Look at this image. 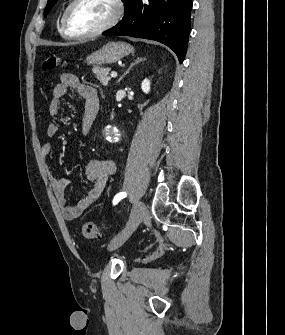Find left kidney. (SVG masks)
<instances>
[{
  "instance_id": "obj_1",
  "label": "left kidney",
  "mask_w": 285,
  "mask_h": 335,
  "mask_svg": "<svg viewBox=\"0 0 285 335\" xmlns=\"http://www.w3.org/2000/svg\"><path fill=\"white\" fill-rule=\"evenodd\" d=\"M141 88L143 90V92H145V94H149L150 92V80H143L142 84H141Z\"/></svg>"
}]
</instances>
